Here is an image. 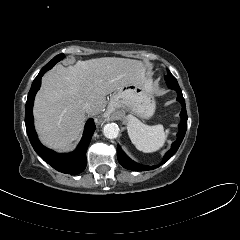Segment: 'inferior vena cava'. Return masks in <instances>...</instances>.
<instances>
[{
	"instance_id": "inferior-vena-cava-1",
	"label": "inferior vena cava",
	"mask_w": 240,
	"mask_h": 240,
	"mask_svg": "<svg viewBox=\"0 0 240 240\" xmlns=\"http://www.w3.org/2000/svg\"><path fill=\"white\" fill-rule=\"evenodd\" d=\"M83 110L86 111V112H89L91 110V104L89 102H86L83 105Z\"/></svg>"
}]
</instances>
